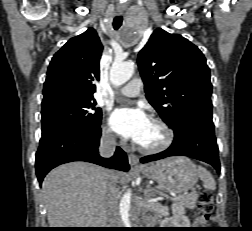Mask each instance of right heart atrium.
Here are the masks:
<instances>
[{
    "label": "right heart atrium",
    "mask_w": 252,
    "mask_h": 231,
    "mask_svg": "<svg viewBox=\"0 0 252 231\" xmlns=\"http://www.w3.org/2000/svg\"><path fill=\"white\" fill-rule=\"evenodd\" d=\"M102 139L108 143L115 144L116 143V136L110 129L108 125H104L102 127Z\"/></svg>",
    "instance_id": "right-heart-atrium-1"
}]
</instances>
